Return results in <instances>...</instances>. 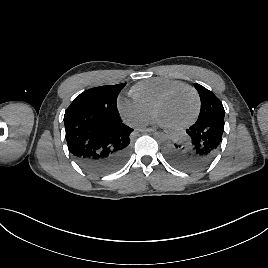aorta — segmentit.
<instances>
[{
	"label": "aorta",
	"instance_id": "obj_1",
	"mask_svg": "<svg viewBox=\"0 0 268 268\" xmlns=\"http://www.w3.org/2000/svg\"><path fill=\"white\" fill-rule=\"evenodd\" d=\"M154 137L158 142H163L166 139L167 134L164 130L159 129L155 132Z\"/></svg>",
	"mask_w": 268,
	"mask_h": 268
}]
</instances>
